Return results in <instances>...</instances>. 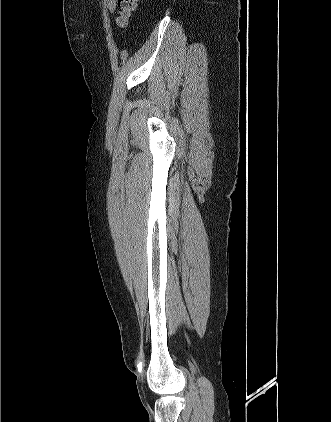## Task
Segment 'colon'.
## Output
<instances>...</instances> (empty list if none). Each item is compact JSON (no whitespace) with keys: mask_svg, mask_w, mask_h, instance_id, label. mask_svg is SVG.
<instances>
[{"mask_svg":"<svg viewBox=\"0 0 331 422\" xmlns=\"http://www.w3.org/2000/svg\"><path fill=\"white\" fill-rule=\"evenodd\" d=\"M138 0H118L119 12L116 18L118 29L128 27L130 20L137 8Z\"/></svg>","mask_w":331,"mask_h":422,"instance_id":"1","label":"colon"}]
</instances>
